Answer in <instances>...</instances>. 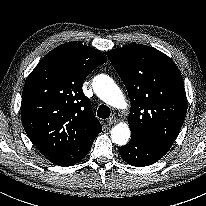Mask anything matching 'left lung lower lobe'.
<instances>
[{
    "mask_svg": "<svg viewBox=\"0 0 206 206\" xmlns=\"http://www.w3.org/2000/svg\"><path fill=\"white\" fill-rule=\"evenodd\" d=\"M170 147L131 137L129 144L121 146L120 155L133 166H148L163 157Z\"/></svg>",
    "mask_w": 206,
    "mask_h": 206,
    "instance_id": "obj_1",
    "label": "left lung lower lobe"
}]
</instances>
